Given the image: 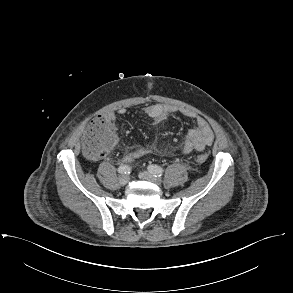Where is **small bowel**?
Instances as JSON below:
<instances>
[{"label": "small bowel", "mask_w": 293, "mask_h": 293, "mask_svg": "<svg viewBox=\"0 0 293 293\" xmlns=\"http://www.w3.org/2000/svg\"><path fill=\"white\" fill-rule=\"evenodd\" d=\"M125 112V108H119L105 112L102 117L113 124L118 120L119 116L125 114ZM142 112L150 117L154 124H159L167 119L171 114L177 112V109L168 105L151 104L144 107ZM181 114L195 121V127L188 131L182 145V150L185 154H189L193 151H201L213 142L214 134L211 127L203 117L186 110H182ZM158 152L161 155L169 154L166 149H159ZM149 153L150 150L148 149H135L126 153L123 156L122 161L128 163Z\"/></svg>", "instance_id": "1"}]
</instances>
